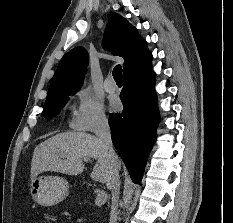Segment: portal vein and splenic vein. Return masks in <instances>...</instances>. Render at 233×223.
<instances>
[{"mask_svg":"<svg viewBox=\"0 0 233 223\" xmlns=\"http://www.w3.org/2000/svg\"><path fill=\"white\" fill-rule=\"evenodd\" d=\"M107 201V193L106 191H98L96 197H95V203L96 205H102V203H105Z\"/></svg>","mask_w":233,"mask_h":223,"instance_id":"1","label":"portal vein and splenic vein"}]
</instances>
